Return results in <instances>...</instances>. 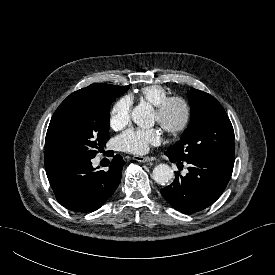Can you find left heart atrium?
Masks as SVG:
<instances>
[{
	"label": "left heart atrium",
	"instance_id": "obj_1",
	"mask_svg": "<svg viewBox=\"0 0 275 275\" xmlns=\"http://www.w3.org/2000/svg\"><path fill=\"white\" fill-rule=\"evenodd\" d=\"M161 141V134L156 128L130 129L119 137V143L123 150L134 154H144L150 145H157Z\"/></svg>",
	"mask_w": 275,
	"mask_h": 275
}]
</instances>
